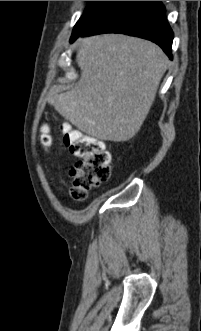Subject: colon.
I'll return each instance as SVG.
<instances>
[{
	"instance_id": "colon-1",
	"label": "colon",
	"mask_w": 201,
	"mask_h": 331,
	"mask_svg": "<svg viewBox=\"0 0 201 331\" xmlns=\"http://www.w3.org/2000/svg\"><path fill=\"white\" fill-rule=\"evenodd\" d=\"M62 132L65 146L78 159L69 172L70 194L74 200L83 201L91 190L109 179L110 153L99 140L69 126H64ZM42 143L46 147L51 144L46 132L42 135Z\"/></svg>"
}]
</instances>
